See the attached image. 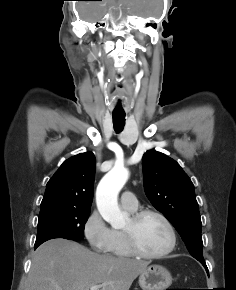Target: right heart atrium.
<instances>
[{
  "label": "right heart atrium",
  "mask_w": 236,
  "mask_h": 290,
  "mask_svg": "<svg viewBox=\"0 0 236 290\" xmlns=\"http://www.w3.org/2000/svg\"><path fill=\"white\" fill-rule=\"evenodd\" d=\"M83 235L93 251L98 253L109 251L113 239V232L97 210L91 211L85 219Z\"/></svg>",
  "instance_id": "d8ad5b80"
}]
</instances>
